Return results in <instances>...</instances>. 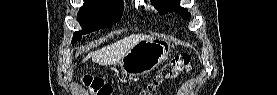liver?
Segmentation results:
<instances>
[{"label":"liver","mask_w":277,"mask_h":95,"mask_svg":"<svg viewBox=\"0 0 277 95\" xmlns=\"http://www.w3.org/2000/svg\"><path fill=\"white\" fill-rule=\"evenodd\" d=\"M146 38H149V36L141 34L130 35L129 37H125L122 40L89 53L84 57L83 62L87 61L88 58H92L93 62L103 66L117 64L131 48Z\"/></svg>","instance_id":"obj_1"}]
</instances>
